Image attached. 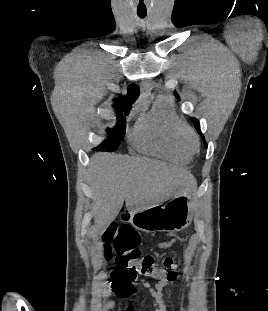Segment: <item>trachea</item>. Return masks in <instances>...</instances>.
Returning <instances> with one entry per match:
<instances>
[{
	"label": "trachea",
	"instance_id": "trachea-1",
	"mask_svg": "<svg viewBox=\"0 0 268 311\" xmlns=\"http://www.w3.org/2000/svg\"><path fill=\"white\" fill-rule=\"evenodd\" d=\"M138 16L143 19L146 17V14H138Z\"/></svg>",
	"mask_w": 268,
	"mask_h": 311
}]
</instances>
